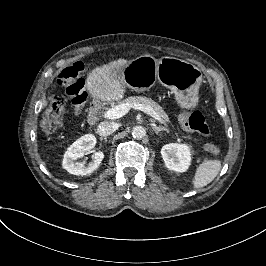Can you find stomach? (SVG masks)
I'll list each match as a JSON object with an SVG mask.
<instances>
[{"label":"stomach","mask_w":266,"mask_h":266,"mask_svg":"<svg viewBox=\"0 0 266 266\" xmlns=\"http://www.w3.org/2000/svg\"><path fill=\"white\" fill-rule=\"evenodd\" d=\"M122 86L136 92L149 90L156 82L170 89L181 108H194L198 102V88L202 84V72L195 65L173 57L158 62L148 56L126 61L118 77Z\"/></svg>","instance_id":"0dacf381"}]
</instances>
